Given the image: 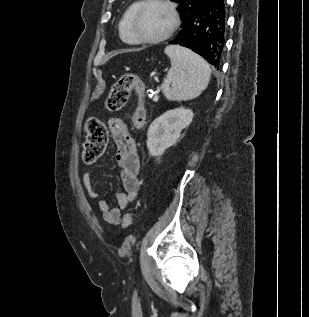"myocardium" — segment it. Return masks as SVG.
Returning <instances> with one entry per match:
<instances>
[{
	"instance_id": "myocardium-1",
	"label": "myocardium",
	"mask_w": 309,
	"mask_h": 317,
	"mask_svg": "<svg viewBox=\"0 0 309 317\" xmlns=\"http://www.w3.org/2000/svg\"><path fill=\"white\" fill-rule=\"evenodd\" d=\"M152 4H160L165 7H167L172 15V23L169 29L161 36L155 37V38H146L143 37L137 28V22L139 19L140 14L142 11L149 5ZM180 15L177 9L176 4L171 0H143L140 2V4L137 6L136 10L134 11V14L131 19V29L134 37L136 38L137 42L139 43H145V44H157L160 42H163L167 39H169L174 32L178 29L180 25Z\"/></svg>"
}]
</instances>
